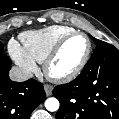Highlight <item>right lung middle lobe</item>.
Returning <instances> with one entry per match:
<instances>
[{
  "mask_svg": "<svg viewBox=\"0 0 119 119\" xmlns=\"http://www.w3.org/2000/svg\"><path fill=\"white\" fill-rule=\"evenodd\" d=\"M0 55L6 57V56L3 54V45H2L1 42H0ZM6 58H8V57H6Z\"/></svg>",
  "mask_w": 119,
  "mask_h": 119,
  "instance_id": "dd1d6c3e",
  "label": "right lung middle lobe"
}]
</instances>
